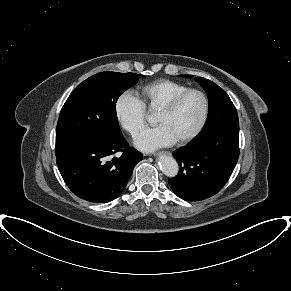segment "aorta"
<instances>
[{
    "mask_svg": "<svg viewBox=\"0 0 291 291\" xmlns=\"http://www.w3.org/2000/svg\"><path fill=\"white\" fill-rule=\"evenodd\" d=\"M159 166L163 174H165L168 177H175L178 174V164L177 161L167 155H161L158 158Z\"/></svg>",
    "mask_w": 291,
    "mask_h": 291,
    "instance_id": "obj_1",
    "label": "aorta"
}]
</instances>
